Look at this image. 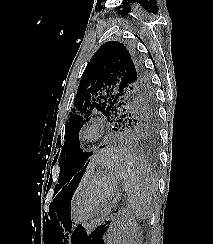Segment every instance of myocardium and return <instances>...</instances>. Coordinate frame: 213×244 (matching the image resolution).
<instances>
[{
    "label": "myocardium",
    "instance_id": "f54148a6",
    "mask_svg": "<svg viewBox=\"0 0 213 244\" xmlns=\"http://www.w3.org/2000/svg\"><path fill=\"white\" fill-rule=\"evenodd\" d=\"M103 135V128L99 123H86L79 131V138L86 142H96Z\"/></svg>",
    "mask_w": 213,
    "mask_h": 244
}]
</instances>
